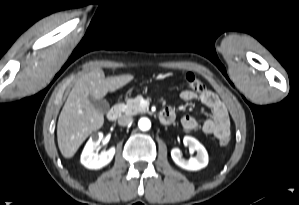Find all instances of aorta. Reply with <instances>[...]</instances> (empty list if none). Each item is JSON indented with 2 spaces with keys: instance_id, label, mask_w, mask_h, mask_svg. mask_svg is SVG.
<instances>
[{
  "instance_id": "obj_1",
  "label": "aorta",
  "mask_w": 299,
  "mask_h": 205,
  "mask_svg": "<svg viewBox=\"0 0 299 205\" xmlns=\"http://www.w3.org/2000/svg\"><path fill=\"white\" fill-rule=\"evenodd\" d=\"M139 129L142 131H147L151 128V122L148 118H141L138 122Z\"/></svg>"
}]
</instances>
